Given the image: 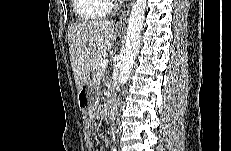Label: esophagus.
<instances>
[{
  "label": "esophagus",
  "mask_w": 231,
  "mask_h": 151,
  "mask_svg": "<svg viewBox=\"0 0 231 151\" xmlns=\"http://www.w3.org/2000/svg\"><path fill=\"white\" fill-rule=\"evenodd\" d=\"M133 4V1H130L125 9V11L123 12V14L121 15L119 21L117 22V26L118 28H122L125 26L127 20H128V16H129V13H130V9H131V6Z\"/></svg>",
  "instance_id": "esophagus-1"
}]
</instances>
